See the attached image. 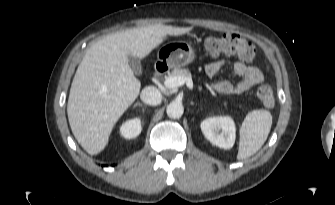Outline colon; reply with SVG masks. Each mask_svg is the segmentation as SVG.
<instances>
[{"label": "colon", "instance_id": "5ec220e1", "mask_svg": "<svg viewBox=\"0 0 335 205\" xmlns=\"http://www.w3.org/2000/svg\"><path fill=\"white\" fill-rule=\"evenodd\" d=\"M205 47L213 57L236 55L244 62H252L256 55L254 45L236 34L210 37L206 40ZM256 97L259 103L267 108L272 107L275 103L273 90L268 85L259 87Z\"/></svg>", "mask_w": 335, "mask_h": 205}]
</instances>
